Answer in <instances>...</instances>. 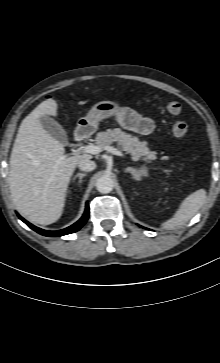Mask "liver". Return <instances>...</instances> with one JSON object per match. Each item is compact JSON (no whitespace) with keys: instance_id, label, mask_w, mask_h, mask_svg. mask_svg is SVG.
I'll return each instance as SVG.
<instances>
[{"instance_id":"6515ba94","label":"liver","mask_w":220,"mask_h":363,"mask_svg":"<svg viewBox=\"0 0 220 363\" xmlns=\"http://www.w3.org/2000/svg\"><path fill=\"white\" fill-rule=\"evenodd\" d=\"M57 108L56 101L48 99L23 119L10 156L8 184L14 205L41 225L61 217L78 162L91 158L88 154L66 156L63 145L44 129L39 118L56 116Z\"/></svg>"}]
</instances>
